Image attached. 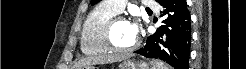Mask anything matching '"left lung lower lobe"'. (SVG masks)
<instances>
[{"mask_svg":"<svg viewBox=\"0 0 246 69\" xmlns=\"http://www.w3.org/2000/svg\"><path fill=\"white\" fill-rule=\"evenodd\" d=\"M163 23L156 33L147 38L146 44L135 53L156 58L174 69H188L191 45L190 13L186 0H163Z\"/></svg>","mask_w":246,"mask_h":69,"instance_id":"1","label":"left lung lower lobe"}]
</instances>
